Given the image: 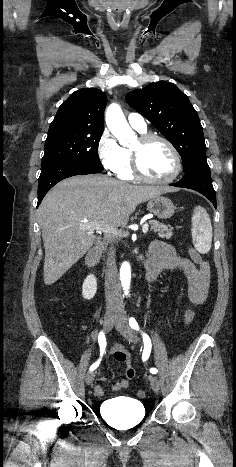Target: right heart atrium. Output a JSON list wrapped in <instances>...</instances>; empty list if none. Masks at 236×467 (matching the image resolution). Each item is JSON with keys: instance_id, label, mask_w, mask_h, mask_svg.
I'll return each instance as SVG.
<instances>
[{"instance_id": "right-heart-atrium-1", "label": "right heart atrium", "mask_w": 236, "mask_h": 467, "mask_svg": "<svg viewBox=\"0 0 236 467\" xmlns=\"http://www.w3.org/2000/svg\"><path fill=\"white\" fill-rule=\"evenodd\" d=\"M97 155L102 167L109 172L116 173L126 161L124 148L108 130H104L98 140Z\"/></svg>"}]
</instances>
